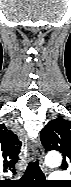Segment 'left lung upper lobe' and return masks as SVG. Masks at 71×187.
I'll list each match as a JSON object with an SVG mask.
<instances>
[{
  "instance_id": "left-lung-upper-lobe-1",
  "label": "left lung upper lobe",
  "mask_w": 71,
  "mask_h": 187,
  "mask_svg": "<svg viewBox=\"0 0 71 187\" xmlns=\"http://www.w3.org/2000/svg\"><path fill=\"white\" fill-rule=\"evenodd\" d=\"M40 139L47 151L62 153L64 170L71 167V121L63 118L50 121L41 131Z\"/></svg>"
}]
</instances>
